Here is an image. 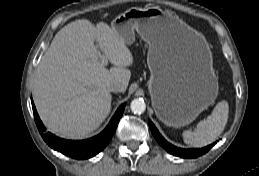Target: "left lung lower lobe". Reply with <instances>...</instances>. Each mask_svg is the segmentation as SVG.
Wrapping results in <instances>:
<instances>
[{
	"mask_svg": "<svg viewBox=\"0 0 259 176\" xmlns=\"http://www.w3.org/2000/svg\"><path fill=\"white\" fill-rule=\"evenodd\" d=\"M149 126H150L152 134L154 135L156 140L159 142V144L163 148H165L170 154H173L175 156H179V157H183V158H196V157L208 152L215 144V143H213L209 146H206L204 148H199V149L177 148V147L173 146L172 144H170L169 142H167L161 136V134L158 132V130L155 128L154 124L151 121H149Z\"/></svg>",
	"mask_w": 259,
	"mask_h": 176,
	"instance_id": "1",
	"label": "left lung lower lobe"
}]
</instances>
